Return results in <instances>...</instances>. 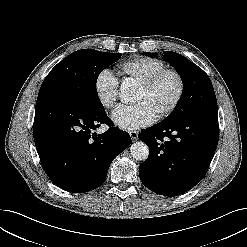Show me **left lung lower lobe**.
Instances as JSON below:
<instances>
[{
  "label": "left lung lower lobe",
  "instance_id": "1",
  "mask_svg": "<svg viewBox=\"0 0 247 247\" xmlns=\"http://www.w3.org/2000/svg\"><path fill=\"white\" fill-rule=\"evenodd\" d=\"M150 154L139 166L142 183L164 196L180 195L207 173L218 139V111L198 112L141 130Z\"/></svg>",
  "mask_w": 247,
  "mask_h": 247
}]
</instances>
